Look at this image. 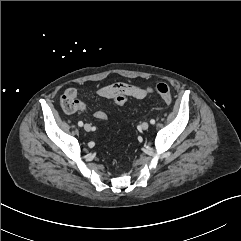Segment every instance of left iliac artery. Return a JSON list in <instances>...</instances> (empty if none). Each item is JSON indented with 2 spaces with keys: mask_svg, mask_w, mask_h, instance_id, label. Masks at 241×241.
<instances>
[{
  "mask_svg": "<svg viewBox=\"0 0 241 241\" xmlns=\"http://www.w3.org/2000/svg\"><path fill=\"white\" fill-rule=\"evenodd\" d=\"M150 124H152V125L155 124V120H154V119H151V120H150Z\"/></svg>",
  "mask_w": 241,
  "mask_h": 241,
  "instance_id": "44dca946",
  "label": "left iliac artery"
}]
</instances>
